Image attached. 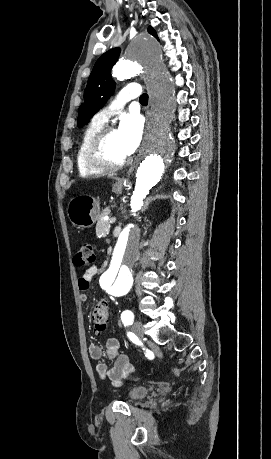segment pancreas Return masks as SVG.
<instances>
[{
    "label": "pancreas",
    "instance_id": "pancreas-1",
    "mask_svg": "<svg viewBox=\"0 0 271 459\" xmlns=\"http://www.w3.org/2000/svg\"><path fill=\"white\" fill-rule=\"evenodd\" d=\"M104 216H108V214H104ZM110 220H104L103 216H100L97 226H96V231L98 233L99 237H102L103 235H106V233H109L110 229Z\"/></svg>",
    "mask_w": 271,
    "mask_h": 459
}]
</instances>
